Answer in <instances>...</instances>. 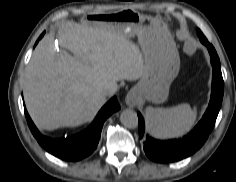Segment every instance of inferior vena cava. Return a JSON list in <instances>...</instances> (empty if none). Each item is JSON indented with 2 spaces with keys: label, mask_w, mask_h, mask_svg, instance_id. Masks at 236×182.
Wrapping results in <instances>:
<instances>
[{
  "label": "inferior vena cava",
  "mask_w": 236,
  "mask_h": 182,
  "mask_svg": "<svg viewBox=\"0 0 236 182\" xmlns=\"http://www.w3.org/2000/svg\"><path fill=\"white\" fill-rule=\"evenodd\" d=\"M103 96H112L115 92L111 87H106L101 91Z\"/></svg>",
  "instance_id": "602c4592"
}]
</instances>
